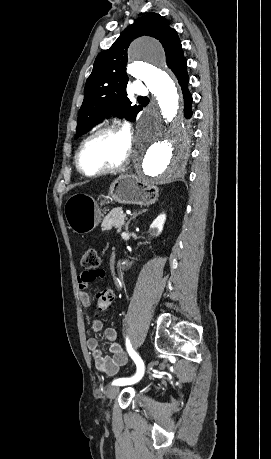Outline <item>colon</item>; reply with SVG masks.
<instances>
[{"mask_svg": "<svg viewBox=\"0 0 271 459\" xmlns=\"http://www.w3.org/2000/svg\"><path fill=\"white\" fill-rule=\"evenodd\" d=\"M80 265L84 271H92L100 266V257L94 248H87L80 259ZM114 299V293L105 289L97 293L95 298L96 308L99 312L108 310Z\"/></svg>", "mask_w": 271, "mask_h": 459, "instance_id": "obj_1", "label": "colon"}]
</instances>
